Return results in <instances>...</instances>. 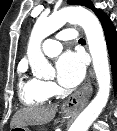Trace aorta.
Instances as JSON below:
<instances>
[{"label": "aorta", "instance_id": "762f6f07", "mask_svg": "<svg viewBox=\"0 0 117 131\" xmlns=\"http://www.w3.org/2000/svg\"><path fill=\"white\" fill-rule=\"evenodd\" d=\"M66 22L76 23L84 29L99 85L95 98L79 114L70 127V131H87L106 106L110 95L111 77L107 47L103 30L97 17L92 12L81 7L64 8L49 17H39L31 32L27 56L32 72L36 77L47 78L51 76L54 73V69L41 51V42Z\"/></svg>", "mask_w": 117, "mask_h": 131}]
</instances>
